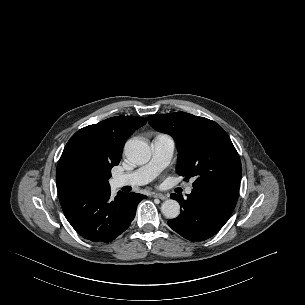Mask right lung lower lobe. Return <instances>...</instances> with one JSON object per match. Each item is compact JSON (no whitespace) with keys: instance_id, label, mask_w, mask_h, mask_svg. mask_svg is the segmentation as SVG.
Masks as SVG:
<instances>
[{"instance_id":"obj_1","label":"right lung lower lobe","mask_w":305,"mask_h":305,"mask_svg":"<svg viewBox=\"0 0 305 305\" xmlns=\"http://www.w3.org/2000/svg\"><path fill=\"white\" fill-rule=\"evenodd\" d=\"M146 198L138 193L118 192L110 198V187L85 189L60 199L64 215L75 231L94 242H110L124 232L136 214L138 203Z\"/></svg>"}]
</instances>
